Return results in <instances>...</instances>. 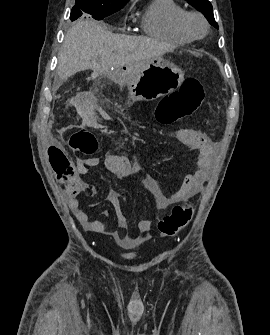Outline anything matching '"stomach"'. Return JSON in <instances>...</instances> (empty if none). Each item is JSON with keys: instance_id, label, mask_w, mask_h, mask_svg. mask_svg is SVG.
Returning a JSON list of instances; mask_svg holds the SVG:
<instances>
[{"instance_id": "obj_1", "label": "stomach", "mask_w": 270, "mask_h": 335, "mask_svg": "<svg viewBox=\"0 0 270 335\" xmlns=\"http://www.w3.org/2000/svg\"><path fill=\"white\" fill-rule=\"evenodd\" d=\"M117 76L127 82L132 102H150L167 96L180 88L184 80V72L180 68L165 64L161 58L151 60L147 68L121 66L117 70Z\"/></svg>"}]
</instances>
